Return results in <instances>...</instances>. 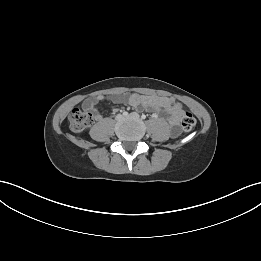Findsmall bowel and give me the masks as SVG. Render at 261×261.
Here are the masks:
<instances>
[{
	"label": "small bowel",
	"instance_id": "small-bowel-1",
	"mask_svg": "<svg viewBox=\"0 0 261 261\" xmlns=\"http://www.w3.org/2000/svg\"><path fill=\"white\" fill-rule=\"evenodd\" d=\"M110 100L115 104H125L163 117L171 127L173 136L179 134V125L183 116V108L174 99L163 96H150L144 94L130 93L129 95L104 96L98 95L87 98L82 103V108L86 112L93 114L96 121L101 119V114L97 108L99 102Z\"/></svg>",
	"mask_w": 261,
	"mask_h": 261
}]
</instances>
